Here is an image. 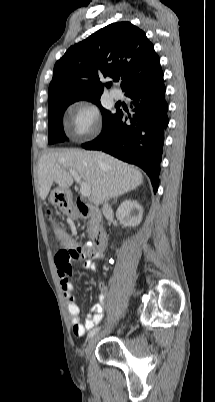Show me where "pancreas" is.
I'll list each match as a JSON object with an SVG mask.
<instances>
[{
	"label": "pancreas",
	"mask_w": 215,
	"mask_h": 402,
	"mask_svg": "<svg viewBox=\"0 0 215 402\" xmlns=\"http://www.w3.org/2000/svg\"><path fill=\"white\" fill-rule=\"evenodd\" d=\"M98 224L94 219L88 221V236L90 239H94L98 234Z\"/></svg>",
	"instance_id": "obj_1"
}]
</instances>
